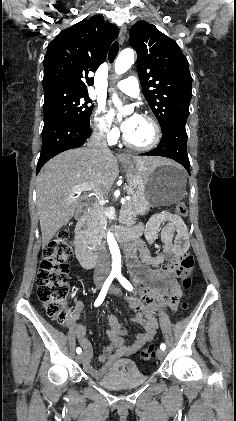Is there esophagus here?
<instances>
[{
	"mask_svg": "<svg viewBox=\"0 0 236 421\" xmlns=\"http://www.w3.org/2000/svg\"><path fill=\"white\" fill-rule=\"evenodd\" d=\"M126 32H127L126 25H122L121 28H120V34H119V42H120L121 45L125 41ZM119 159L120 160H128V157L124 153H121V155H119Z\"/></svg>",
	"mask_w": 236,
	"mask_h": 421,
	"instance_id": "34e87169",
	"label": "esophagus"
}]
</instances>
